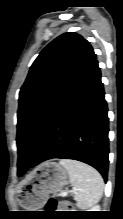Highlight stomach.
<instances>
[{
  "instance_id": "1",
  "label": "stomach",
  "mask_w": 123,
  "mask_h": 219,
  "mask_svg": "<svg viewBox=\"0 0 123 219\" xmlns=\"http://www.w3.org/2000/svg\"><path fill=\"white\" fill-rule=\"evenodd\" d=\"M67 180L68 172L63 166L53 161L44 162L33 171L29 181L21 187L20 205L26 209L41 208L50 194L62 190Z\"/></svg>"
}]
</instances>
